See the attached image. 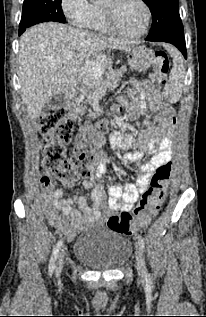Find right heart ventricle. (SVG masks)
Returning a JSON list of instances; mask_svg holds the SVG:
<instances>
[{"instance_id": "1", "label": "right heart ventricle", "mask_w": 206, "mask_h": 317, "mask_svg": "<svg viewBox=\"0 0 206 317\" xmlns=\"http://www.w3.org/2000/svg\"><path fill=\"white\" fill-rule=\"evenodd\" d=\"M86 27L90 30L102 33L110 32L104 19L101 4H92L91 16Z\"/></svg>"}]
</instances>
